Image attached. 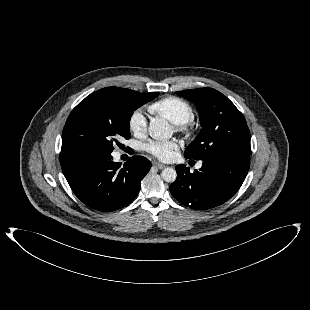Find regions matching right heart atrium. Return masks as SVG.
<instances>
[{
  "label": "right heart atrium",
  "instance_id": "1",
  "mask_svg": "<svg viewBox=\"0 0 310 310\" xmlns=\"http://www.w3.org/2000/svg\"><path fill=\"white\" fill-rule=\"evenodd\" d=\"M130 131L135 136H143L147 128V120L142 110H135L129 120Z\"/></svg>",
  "mask_w": 310,
  "mask_h": 310
}]
</instances>
